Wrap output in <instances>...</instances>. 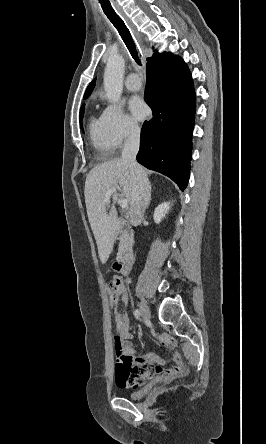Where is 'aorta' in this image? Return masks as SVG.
I'll return each mask as SVG.
<instances>
[{
	"mask_svg": "<svg viewBox=\"0 0 266 444\" xmlns=\"http://www.w3.org/2000/svg\"><path fill=\"white\" fill-rule=\"evenodd\" d=\"M125 62L122 56L114 55L108 59L104 73V89L108 100L116 103L123 90Z\"/></svg>",
	"mask_w": 266,
	"mask_h": 444,
	"instance_id": "aorta-1",
	"label": "aorta"
}]
</instances>
